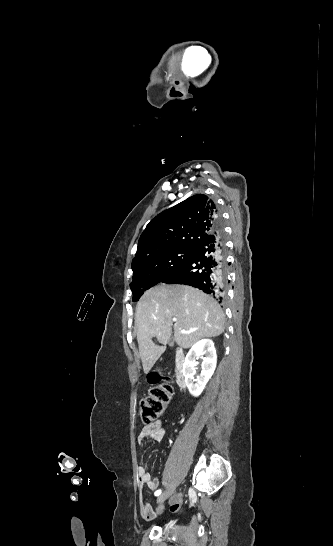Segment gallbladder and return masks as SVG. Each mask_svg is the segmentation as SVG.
<instances>
[{
	"mask_svg": "<svg viewBox=\"0 0 333 546\" xmlns=\"http://www.w3.org/2000/svg\"><path fill=\"white\" fill-rule=\"evenodd\" d=\"M174 345V338L171 337V339L169 340V346H173Z\"/></svg>",
	"mask_w": 333,
	"mask_h": 546,
	"instance_id": "gallbladder-1",
	"label": "gallbladder"
}]
</instances>
